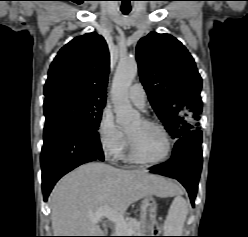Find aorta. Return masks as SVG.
I'll return each mask as SVG.
<instances>
[{
	"mask_svg": "<svg viewBox=\"0 0 248 237\" xmlns=\"http://www.w3.org/2000/svg\"><path fill=\"white\" fill-rule=\"evenodd\" d=\"M137 62L134 59L121 60L118 64L112 85V102L116 113V122L127 127L139 119L128 98V89L137 74Z\"/></svg>",
	"mask_w": 248,
	"mask_h": 237,
	"instance_id": "1",
	"label": "aorta"
}]
</instances>
